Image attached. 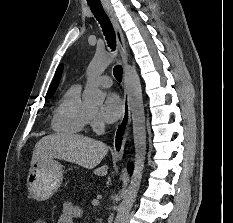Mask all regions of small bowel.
Segmentation results:
<instances>
[{
  "instance_id": "1",
  "label": "small bowel",
  "mask_w": 233,
  "mask_h": 223,
  "mask_svg": "<svg viewBox=\"0 0 233 223\" xmlns=\"http://www.w3.org/2000/svg\"><path fill=\"white\" fill-rule=\"evenodd\" d=\"M82 216L83 211L80 207L70 201H65L57 218V223H73L75 218H81Z\"/></svg>"
}]
</instances>
